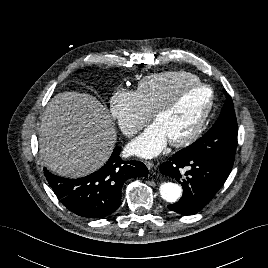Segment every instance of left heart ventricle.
I'll use <instances>...</instances> for the list:
<instances>
[{"label": "left heart ventricle", "mask_w": 268, "mask_h": 268, "mask_svg": "<svg viewBox=\"0 0 268 268\" xmlns=\"http://www.w3.org/2000/svg\"><path fill=\"white\" fill-rule=\"evenodd\" d=\"M209 95V91L204 88L188 89L181 94L174 109L156 121L169 141L182 138L193 128Z\"/></svg>", "instance_id": "obj_1"}]
</instances>
